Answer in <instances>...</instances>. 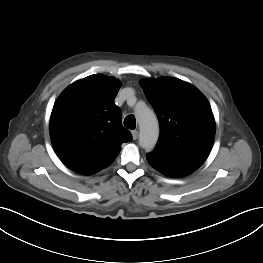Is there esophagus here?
Listing matches in <instances>:
<instances>
[{"mask_svg":"<svg viewBox=\"0 0 263 263\" xmlns=\"http://www.w3.org/2000/svg\"><path fill=\"white\" fill-rule=\"evenodd\" d=\"M131 133L133 140H136L138 138L139 132L137 130H133Z\"/></svg>","mask_w":263,"mask_h":263,"instance_id":"1","label":"esophagus"}]
</instances>
